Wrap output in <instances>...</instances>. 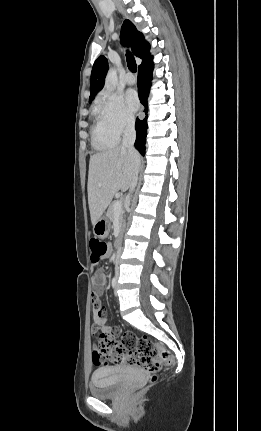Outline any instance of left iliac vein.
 <instances>
[{"instance_id":"left-iliac-vein-1","label":"left iliac vein","mask_w":261,"mask_h":431,"mask_svg":"<svg viewBox=\"0 0 261 431\" xmlns=\"http://www.w3.org/2000/svg\"><path fill=\"white\" fill-rule=\"evenodd\" d=\"M116 290H117V284H116V287H115V292H116Z\"/></svg>"}]
</instances>
